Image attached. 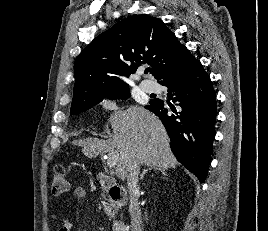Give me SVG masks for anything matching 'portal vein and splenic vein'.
<instances>
[{
	"label": "portal vein and splenic vein",
	"instance_id": "1",
	"mask_svg": "<svg viewBox=\"0 0 268 231\" xmlns=\"http://www.w3.org/2000/svg\"><path fill=\"white\" fill-rule=\"evenodd\" d=\"M117 162H118V156L113 154V153H110L108 154V157H107V166L111 169V168H114L116 165H117Z\"/></svg>",
	"mask_w": 268,
	"mask_h": 231
}]
</instances>
